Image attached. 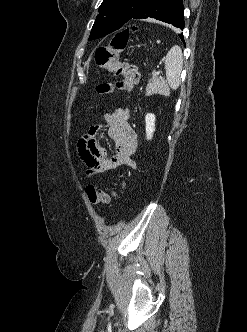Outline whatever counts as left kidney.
<instances>
[{
	"instance_id": "obj_1",
	"label": "left kidney",
	"mask_w": 247,
	"mask_h": 332,
	"mask_svg": "<svg viewBox=\"0 0 247 332\" xmlns=\"http://www.w3.org/2000/svg\"><path fill=\"white\" fill-rule=\"evenodd\" d=\"M155 115L148 113L145 116V122H146V138L147 140H151L153 137V133L155 131Z\"/></svg>"
}]
</instances>
